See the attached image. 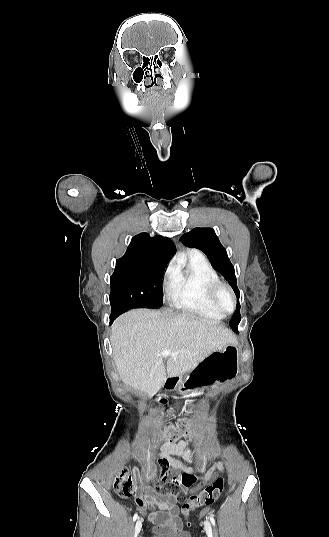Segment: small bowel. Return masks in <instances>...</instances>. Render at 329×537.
I'll list each match as a JSON object with an SVG mask.
<instances>
[{
    "mask_svg": "<svg viewBox=\"0 0 329 537\" xmlns=\"http://www.w3.org/2000/svg\"><path fill=\"white\" fill-rule=\"evenodd\" d=\"M190 404V401H187ZM165 408H171V405H165ZM175 408H179V405H175ZM187 408V405H184ZM167 412H178V409H167ZM181 412H187V409H181ZM188 412H193V409H188ZM161 416H165V413H161ZM167 416H172V413H167ZM162 420H170V417H162ZM174 457H182L187 461H195L199 458H195L191 453L190 445L187 442L178 443H165L160 451V459L158 460V468L156 474L162 476L163 485L157 490L147 488L135 495V502L137 508L142 514H146L147 510L156 506L160 509L159 512H151L148 514V519L155 524L154 531H160L164 529H180L183 526V522L179 517L180 508L187 501L188 496L185 493H181L179 487H190L195 483L197 477L192 467L183 465L179 460ZM223 464L221 462L216 463L207 472L201 475L202 482L211 481L218 471H222ZM137 480L141 481V475L139 471H136ZM171 485L168 489L165 485Z\"/></svg>",
    "mask_w": 329,
    "mask_h": 537,
    "instance_id": "small-bowel-1",
    "label": "small bowel"
}]
</instances>
